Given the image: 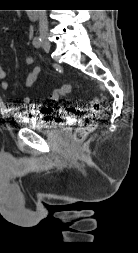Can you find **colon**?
<instances>
[{"instance_id":"5ec220e1","label":"colon","mask_w":138,"mask_h":253,"mask_svg":"<svg viewBox=\"0 0 138 253\" xmlns=\"http://www.w3.org/2000/svg\"><path fill=\"white\" fill-rule=\"evenodd\" d=\"M80 87V84H64L61 88L55 89L50 93L49 98L53 101L58 100L62 96H65L72 92V90ZM100 101L98 98L92 99V110L96 112L99 109ZM96 128V121L91 114L85 115L80 119L79 125L76 128L73 139L76 142L83 141L94 129Z\"/></svg>"}]
</instances>
